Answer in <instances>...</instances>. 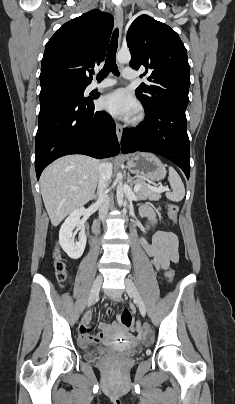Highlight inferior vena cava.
Listing matches in <instances>:
<instances>
[{
    "label": "inferior vena cava",
    "instance_id": "obj_1",
    "mask_svg": "<svg viewBox=\"0 0 235 404\" xmlns=\"http://www.w3.org/2000/svg\"><path fill=\"white\" fill-rule=\"evenodd\" d=\"M112 176V164L108 162H101L99 165V180H98V200L99 217L103 221L108 213L109 197L106 188Z\"/></svg>",
    "mask_w": 235,
    "mask_h": 404
}]
</instances>
